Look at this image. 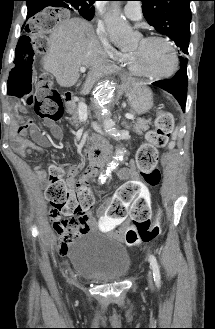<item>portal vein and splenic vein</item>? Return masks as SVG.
Returning a JSON list of instances; mask_svg holds the SVG:
<instances>
[{"instance_id":"18ae733b","label":"portal vein and splenic vein","mask_w":215,"mask_h":329,"mask_svg":"<svg viewBox=\"0 0 215 329\" xmlns=\"http://www.w3.org/2000/svg\"><path fill=\"white\" fill-rule=\"evenodd\" d=\"M80 71L81 72H85L86 71V67L82 66L80 67ZM78 113H79V117L81 120L86 121L88 118V112H87V106L84 102H79L78 103ZM125 117L127 119L133 120L134 116L131 114H126Z\"/></svg>"}]
</instances>
